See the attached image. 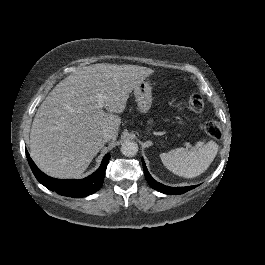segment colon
<instances>
[{
	"label": "colon",
	"instance_id": "1",
	"mask_svg": "<svg viewBox=\"0 0 265 265\" xmlns=\"http://www.w3.org/2000/svg\"><path fill=\"white\" fill-rule=\"evenodd\" d=\"M203 99L198 94H192L189 97L188 106L189 109L193 112H200L203 109ZM203 130L213 138L221 137V128L217 121L209 120L203 124Z\"/></svg>",
	"mask_w": 265,
	"mask_h": 265
}]
</instances>
